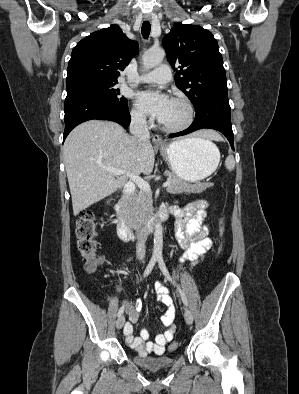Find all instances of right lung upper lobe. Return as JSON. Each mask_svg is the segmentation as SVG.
Segmentation results:
<instances>
[{
    "label": "right lung upper lobe",
    "instance_id": "1",
    "mask_svg": "<svg viewBox=\"0 0 299 394\" xmlns=\"http://www.w3.org/2000/svg\"><path fill=\"white\" fill-rule=\"evenodd\" d=\"M139 46L111 25L82 39L73 49L67 68V88L93 82H117Z\"/></svg>",
    "mask_w": 299,
    "mask_h": 394
}]
</instances>
